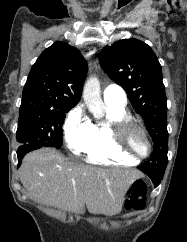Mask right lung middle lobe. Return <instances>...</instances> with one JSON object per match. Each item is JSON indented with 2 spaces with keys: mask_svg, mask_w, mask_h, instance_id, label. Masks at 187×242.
I'll return each instance as SVG.
<instances>
[{
  "mask_svg": "<svg viewBox=\"0 0 187 242\" xmlns=\"http://www.w3.org/2000/svg\"><path fill=\"white\" fill-rule=\"evenodd\" d=\"M69 110L20 109L17 141L60 149L62 125Z\"/></svg>",
  "mask_w": 187,
  "mask_h": 242,
  "instance_id": "right-lung-middle-lobe-1",
  "label": "right lung middle lobe"
}]
</instances>
